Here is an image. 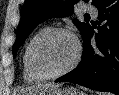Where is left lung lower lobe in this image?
<instances>
[{"label":"left lung lower lobe","mask_w":119,"mask_h":95,"mask_svg":"<svg viewBox=\"0 0 119 95\" xmlns=\"http://www.w3.org/2000/svg\"><path fill=\"white\" fill-rule=\"evenodd\" d=\"M98 33L89 26L83 36L79 65L55 82L76 83L93 90L119 95V0H104L97 7ZM96 44L91 45L93 37Z\"/></svg>","instance_id":"obj_1"}]
</instances>
